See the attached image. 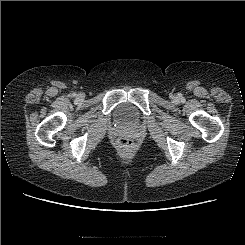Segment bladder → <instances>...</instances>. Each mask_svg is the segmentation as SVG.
<instances>
[{"label": "bladder", "instance_id": "1", "mask_svg": "<svg viewBox=\"0 0 245 245\" xmlns=\"http://www.w3.org/2000/svg\"><path fill=\"white\" fill-rule=\"evenodd\" d=\"M118 120L125 125H131L135 120L134 109L129 105H122L117 111Z\"/></svg>", "mask_w": 245, "mask_h": 245}]
</instances>
